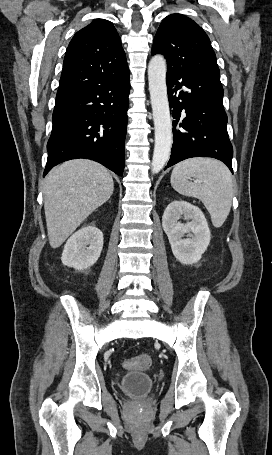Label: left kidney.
<instances>
[{
  "label": "left kidney",
  "instance_id": "left-kidney-1",
  "mask_svg": "<svg viewBox=\"0 0 272 455\" xmlns=\"http://www.w3.org/2000/svg\"><path fill=\"white\" fill-rule=\"evenodd\" d=\"M183 216L190 221L179 222ZM162 226L175 258L182 264L198 262L206 251L211 234L203 212L185 201H173L164 211ZM188 234L186 239L183 237Z\"/></svg>",
  "mask_w": 272,
  "mask_h": 455
}]
</instances>
